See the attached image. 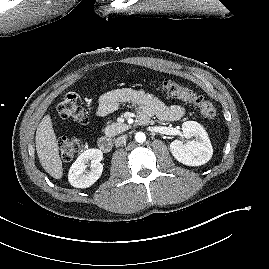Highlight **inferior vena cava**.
Masks as SVG:
<instances>
[{"label":"inferior vena cava","mask_w":269,"mask_h":269,"mask_svg":"<svg viewBox=\"0 0 269 269\" xmlns=\"http://www.w3.org/2000/svg\"><path fill=\"white\" fill-rule=\"evenodd\" d=\"M126 139H127V135H122V136L118 137V138L115 140V145H116V146H120L121 144H123V143L126 142Z\"/></svg>","instance_id":"obj_1"}]
</instances>
